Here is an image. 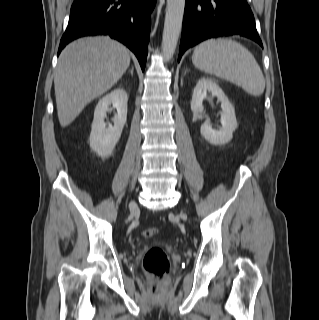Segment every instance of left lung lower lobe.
Segmentation results:
<instances>
[{
  "mask_svg": "<svg viewBox=\"0 0 319 320\" xmlns=\"http://www.w3.org/2000/svg\"><path fill=\"white\" fill-rule=\"evenodd\" d=\"M230 35L247 37L263 47L246 0H186L178 61L199 42Z\"/></svg>",
  "mask_w": 319,
  "mask_h": 320,
  "instance_id": "obj_1",
  "label": "left lung lower lobe"
}]
</instances>
